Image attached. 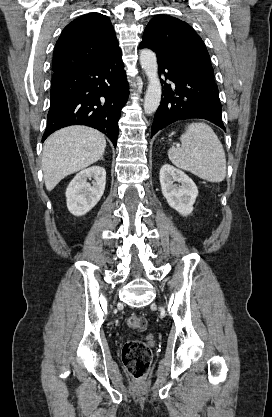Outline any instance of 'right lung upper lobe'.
Segmentation results:
<instances>
[{"label": "right lung upper lobe", "mask_w": 272, "mask_h": 417, "mask_svg": "<svg viewBox=\"0 0 272 417\" xmlns=\"http://www.w3.org/2000/svg\"><path fill=\"white\" fill-rule=\"evenodd\" d=\"M119 48L107 16L89 13L69 23L56 42L52 70L93 66Z\"/></svg>", "instance_id": "1"}]
</instances>
